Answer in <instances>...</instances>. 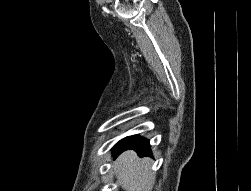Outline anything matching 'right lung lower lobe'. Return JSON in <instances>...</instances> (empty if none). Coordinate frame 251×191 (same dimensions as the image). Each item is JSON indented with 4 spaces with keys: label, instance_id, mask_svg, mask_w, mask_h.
Segmentation results:
<instances>
[{
    "label": "right lung lower lobe",
    "instance_id": "98d812e1",
    "mask_svg": "<svg viewBox=\"0 0 251 191\" xmlns=\"http://www.w3.org/2000/svg\"><path fill=\"white\" fill-rule=\"evenodd\" d=\"M114 159L127 149H134L140 157L152 156L149 141L133 135L120 140L113 148Z\"/></svg>",
    "mask_w": 251,
    "mask_h": 191
}]
</instances>
